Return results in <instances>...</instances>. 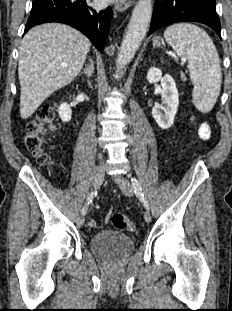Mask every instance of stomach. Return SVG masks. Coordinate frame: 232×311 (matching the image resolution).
<instances>
[{
    "label": "stomach",
    "instance_id": "1",
    "mask_svg": "<svg viewBox=\"0 0 232 311\" xmlns=\"http://www.w3.org/2000/svg\"><path fill=\"white\" fill-rule=\"evenodd\" d=\"M161 43H163V40H162L160 37H155V38L153 39V45H154V46H160Z\"/></svg>",
    "mask_w": 232,
    "mask_h": 311
}]
</instances>
